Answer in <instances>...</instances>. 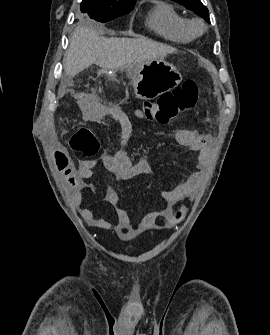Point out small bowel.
I'll return each mask as SVG.
<instances>
[{"mask_svg":"<svg viewBox=\"0 0 270 335\" xmlns=\"http://www.w3.org/2000/svg\"><path fill=\"white\" fill-rule=\"evenodd\" d=\"M96 118L110 117L114 119L120 127V138L122 148L115 153H104L101 156L105 167L113 173L119 181H127L138 175L150 174L152 169L150 163L145 159L132 162L126 153V147L129 144L133 129L126 114L118 107H110L99 111ZM177 137L191 151L198 152V171L192 173L181 183L169 190L161 192L165 200V207L160 210L151 211L145 214L140 226L146 230L152 227L158 219L169 218L172 215V208L187 199L198 187L203 178V169L208 161L212 138L207 135H201L186 130H178ZM48 151H59V144H48ZM49 161L57 162V173H65L67 181L74 191V203L80 205L82 202V191L88 188L86 180L92 176V170L96 161L92 159L80 160L73 158V154H49ZM75 169H77L75 171ZM106 201L115 209L117 222L115 226L112 221L96 216L94 210L90 208H80L81 217L92 227L101 230H109L115 227L118 235H125L131 231L132 225L128 212L120 206L119 193L112 187H108L105 192Z\"/></svg>","mask_w":270,"mask_h":335,"instance_id":"c3829d8e","label":"small bowel"}]
</instances>
